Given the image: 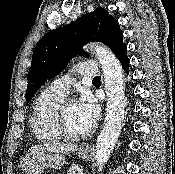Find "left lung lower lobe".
Listing matches in <instances>:
<instances>
[{"mask_svg": "<svg viewBox=\"0 0 175 174\" xmlns=\"http://www.w3.org/2000/svg\"><path fill=\"white\" fill-rule=\"evenodd\" d=\"M127 46H125L118 54H117V58L120 60L123 69L125 70V72L128 74V67H129V59L127 57Z\"/></svg>", "mask_w": 175, "mask_h": 174, "instance_id": "1", "label": "left lung lower lobe"}]
</instances>
